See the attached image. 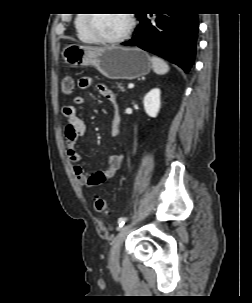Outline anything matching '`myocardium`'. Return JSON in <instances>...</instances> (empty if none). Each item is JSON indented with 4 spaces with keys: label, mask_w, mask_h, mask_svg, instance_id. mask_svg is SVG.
Segmentation results:
<instances>
[{
    "label": "myocardium",
    "mask_w": 252,
    "mask_h": 303,
    "mask_svg": "<svg viewBox=\"0 0 252 303\" xmlns=\"http://www.w3.org/2000/svg\"><path fill=\"white\" fill-rule=\"evenodd\" d=\"M126 15L128 16V25H127L126 29L121 34H119L117 36H113V37L102 36V35L94 32L91 27L92 22H93V16H92V14H91V16H87V25H88V30L91 34V39L101 41L104 43H117V42H121V41L125 40L126 38H128L135 26L136 19H135V15L133 13L128 12V13H126Z\"/></svg>",
    "instance_id": "1"
}]
</instances>
